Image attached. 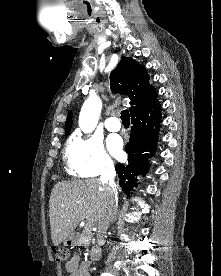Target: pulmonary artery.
<instances>
[{"mask_svg": "<svg viewBox=\"0 0 221 276\" xmlns=\"http://www.w3.org/2000/svg\"><path fill=\"white\" fill-rule=\"evenodd\" d=\"M105 127L112 132L119 131L121 128L120 122L116 117H109L105 121Z\"/></svg>", "mask_w": 221, "mask_h": 276, "instance_id": "e3ab8cb5", "label": "pulmonary artery"}]
</instances>
